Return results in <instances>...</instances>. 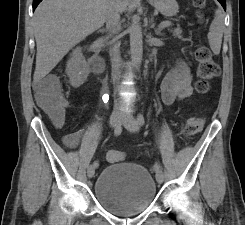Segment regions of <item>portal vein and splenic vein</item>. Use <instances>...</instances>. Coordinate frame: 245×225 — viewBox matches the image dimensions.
Segmentation results:
<instances>
[{
    "mask_svg": "<svg viewBox=\"0 0 245 225\" xmlns=\"http://www.w3.org/2000/svg\"><path fill=\"white\" fill-rule=\"evenodd\" d=\"M171 25L170 21H163L160 23L159 28H165Z\"/></svg>",
    "mask_w": 245,
    "mask_h": 225,
    "instance_id": "1",
    "label": "portal vein and splenic vein"
}]
</instances>
